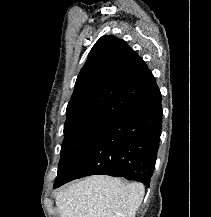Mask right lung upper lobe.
Instances as JSON below:
<instances>
[{
	"label": "right lung upper lobe",
	"mask_w": 211,
	"mask_h": 217,
	"mask_svg": "<svg viewBox=\"0 0 211 217\" xmlns=\"http://www.w3.org/2000/svg\"><path fill=\"white\" fill-rule=\"evenodd\" d=\"M156 86L138 54L115 36H102L81 69L67 106V120L94 113H120Z\"/></svg>",
	"instance_id": "right-lung-upper-lobe-1"
}]
</instances>
